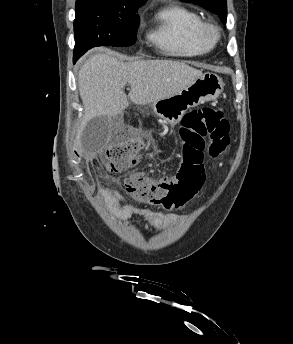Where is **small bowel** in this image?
<instances>
[{
    "mask_svg": "<svg viewBox=\"0 0 293 344\" xmlns=\"http://www.w3.org/2000/svg\"><path fill=\"white\" fill-rule=\"evenodd\" d=\"M195 175L203 185L205 181L204 165L197 167ZM101 191L108 203L111 215L119 221H125L137 215L145 218V228L160 229L173 223L176 219L175 215L171 213L153 211L133 204H123L124 197L116 189L103 188Z\"/></svg>",
    "mask_w": 293,
    "mask_h": 344,
    "instance_id": "c3829d8e",
    "label": "small bowel"
}]
</instances>
